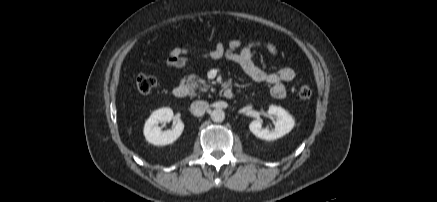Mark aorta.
<instances>
[{"label":"aorta","instance_id":"762f6f07","mask_svg":"<svg viewBox=\"0 0 437 202\" xmlns=\"http://www.w3.org/2000/svg\"><path fill=\"white\" fill-rule=\"evenodd\" d=\"M212 121L216 123L223 122L225 119V113L222 109H215L210 114Z\"/></svg>","mask_w":437,"mask_h":202}]
</instances>
